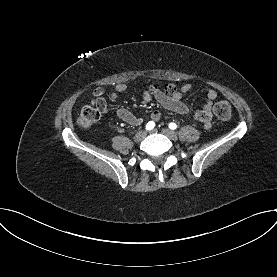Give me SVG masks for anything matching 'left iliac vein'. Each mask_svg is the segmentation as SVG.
Segmentation results:
<instances>
[{
  "label": "left iliac vein",
  "mask_w": 277,
  "mask_h": 277,
  "mask_svg": "<svg viewBox=\"0 0 277 277\" xmlns=\"http://www.w3.org/2000/svg\"><path fill=\"white\" fill-rule=\"evenodd\" d=\"M152 132H156V130H152ZM161 132L169 137L171 140H177V134L174 131L164 128L161 130Z\"/></svg>",
  "instance_id": "obj_1"
}]
</instances>
